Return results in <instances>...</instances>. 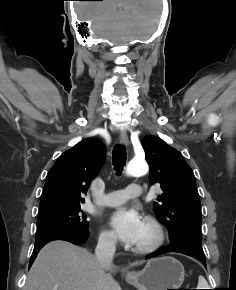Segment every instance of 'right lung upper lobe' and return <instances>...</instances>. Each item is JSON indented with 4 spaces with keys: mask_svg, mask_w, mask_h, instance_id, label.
I'll use <instances>...</instances> for the list:
<instances>
[{
    "mask_svg": "<svg viewBox=\"0 0 236 290\" xmlns=\"http://www.w3.org/2000/svg\"><path fill=\"white\" fill-rule=\"evenodd\" d=\"M106 156L103 143L86 138L65 151L47 174L39 208L80 205Z\"/></svg>",
    "mask_w": 236,
    "mask_h": 290,
    "instance_id": "cb5924a9",
    "label": "right lung upper lobe"
}]
</instances>
